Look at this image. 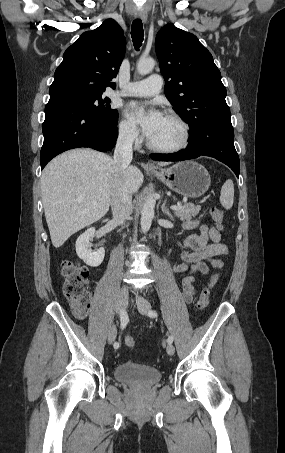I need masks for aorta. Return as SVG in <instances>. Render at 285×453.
<instances>
[{
    "label": "aorta",
    "mask_w": 285,
    "mask_h": 453,
    "mask_svg": "<svg viewBox=\"0 0 285 453\" xmlns=\"http://www.w3.org/2000/svg\"><path fill=\"white\" fill-rule=\"evenodd\" d=\"M155 66V60L150 57H141L137 63V72L141 75L150 73ZM156 200L153 195H149L141 211V229L146 233L149 231L152 219L154 218V208Z\"/></svg>",
    "instance_id": "aorta-1"
}]
</instances>
